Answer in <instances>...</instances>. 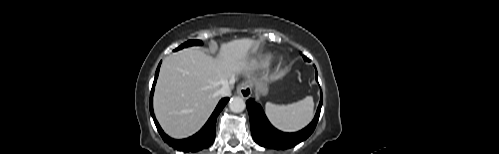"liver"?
Returning <instances> with one entry per match:
<instances>
[{
  "mask_svg": "<svg viewBox=\"0 0 499 154\" xmlns=\"http://www.w3.org/2000/svg\"><path fill=\"white\" fill-rule=\"evenodd\" d=\"M257 46L255 40L237 39L222 43L216 58L195 47L167 56L154 94V111L163 130L177 139L196 133L216 107L220 87H232L238 75H249V56Z\"/></svg>",
  "mask_w": 499,
  "mask_h": 154,
  "instance_id": "1",
  "label": "liver"
}]
</instances>
